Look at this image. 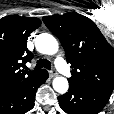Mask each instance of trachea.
Instances as JSON below:
<instances>
[{"mask_svg":"<svg viewBox=\"0 0 114 114\" xmlns=\"http://www.w3.org/2000/svg\"><path fill=\"white\" fill-rule=\"evenodd\" d=\"M46 68L48 70L51 69V63L47 59H39L35 66V69Z\"/></svg>","mask_w":114,"mask_h":114,"instance_id":"obj_1","label":"trachea"}]
</instances>
